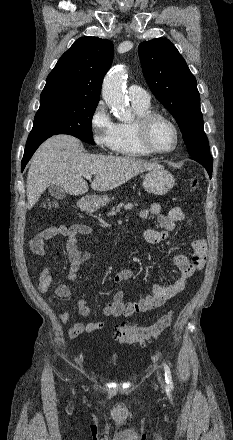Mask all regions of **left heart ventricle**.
<instances>
[{
	"label": "left heart ventricle",
	"mask_w": 233,
	"mask_h": 440,
	"mask_svg": "<svg viewBox=\"0 0 233 440\" xmlns=\"http://www.w3.org/2000/svg\"><path fill=\"white\" fill-rule=\"evenodd\" d=\"M150 140L157 149L167 150L173 147L175 134L167 122L157 120L151 128Z\"/></svg>",
	"instance_id": "obj_1"
}]
</instances>
